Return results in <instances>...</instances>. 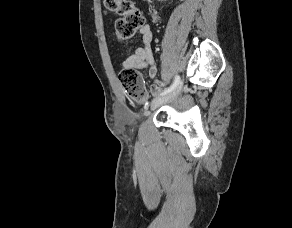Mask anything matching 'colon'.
Returning a JSON list of instances; mask_svg holds the SVG:
<instances>
[{"label": "colon", "mask_w": 292, "mask_h": 228, "mask_svg": "<svg viewBox=\"0 0 292 228\" xmlns=\"http://www.w3.org/2000/svg\"><path fill=\"white\" fill-rule=\"evenodd\" d=\"M106 9L119 16L114 33L121 42L130 39L144 24V16L130 0H104ZM119 81L129 98L138 103L147 99V92L139 70L125 68L119 73Z\"/></svg>", "instance_id": "colon-1"}]
</instances>
